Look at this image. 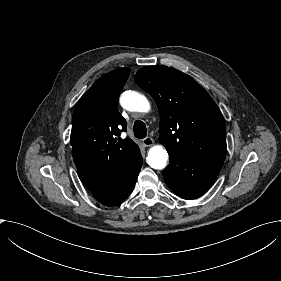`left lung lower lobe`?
<instances>
[{
	"label": "left lung lower lobe",
	"mask_w": 281,
	"mask_h": 281,
	"mask_svg": "<svg viewBox=\"0 0 281 281\" xmlns=\"http://www.w3.org/2000/svg\"><path fill=\"white\" fill-rule=\"evenodd\" d=\"M170 164L164 169L167 186L183 199H195L212 185L224 161L194 160L168 152Z\"/></svg>",
	"instance_id": "0a47b994"
}]
</instances>
